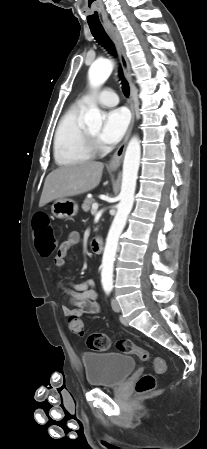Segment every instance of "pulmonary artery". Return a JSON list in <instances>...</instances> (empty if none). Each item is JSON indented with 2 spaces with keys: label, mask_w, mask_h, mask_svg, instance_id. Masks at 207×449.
<instances>
[{
  "label": "pulmonary artery",
  "mask_w": 207,
  "mask_h": 449,
  "mask_svg": "<svg viewBox=\"0 0 207 449\" xmlns=\"http://www.w3.org/2000/svg\"><path fill=\"white\" fill-rule=\"evenodd\" d=\"M90 96L85 95L80 98L79 104L85 105L90 101ZM95 100L102 106L112 107L118 104L117 94L112 89H104L96 97Z\"/></svg>",
  "instance_id": "pulmonary-artery-1"
}]
</instances>
